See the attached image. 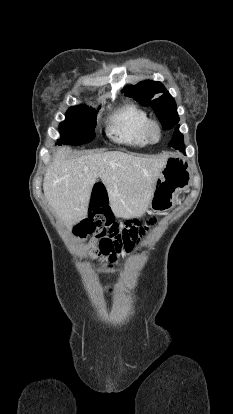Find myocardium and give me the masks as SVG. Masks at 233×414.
<instances>
[{"mask_svg": "<svg viewBox=\"0 0 233 414\" xmlns=\"http://www.w3.org/2000/svg\"><path fill=\"white\" fill-rule=\"evenodd\" d=\"M145 133L150 142L159 141L161 138V127L159 123L156 120L149 119L145 127Z\"/></svg>", "mask_w": 233, "mask_h": 414, "instance_id": "1", "label": "myocardium"}]
</instances>
